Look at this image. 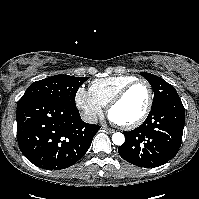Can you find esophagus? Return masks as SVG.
Masks as SVG:
<instances>
[{
    "label": "esophagus",
    "instance_id": "esophagus-1",
    "mask_svg": "<svg viewBox=\"0 0 199 199\" xmlns=\"http://www.w3.org/2000/svg\"><path fill=\"white\" fill-rule=\"evenodd\" d=\"M103 129H104L105 131H108L109 133H114V132H115L114 129L108 128V127H106V126H104Z\"/></svg>",
    "mask_w": 199,
    "mask_h": 199
}]
</instances>
